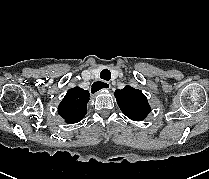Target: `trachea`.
<instances>
[{
    "instance_id": "trachea-1",
    "label": "trachea",
    "mask_w": 209,
    "mask_h": 179,
    "mask_svg": "<svg viewBox=\"0 0 209 179\" xmlns=\"http://www.w3.org/2000/svg\"><path fill=\"white\" fill-rule=\"evenodd\" d=\"M100 78L109 81L111 79V72L107 69L102 70L100 73Z\"/></svg>"
}]
</instances>
